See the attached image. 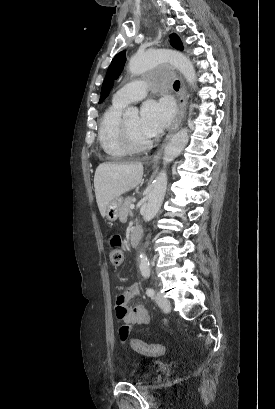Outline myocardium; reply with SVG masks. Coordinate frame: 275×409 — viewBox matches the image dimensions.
<instances>
[{
    "label": "myocardium",
    "instance_id": "obj_1",
    "mask_svg": "<svg viewBox=\"0 0 275 409\" xmlns=\"http://www.w3.org/2000/svg\"><path fill=\"white\" fill-rule=\"evenodd\" d=\"M121 133L124 146L131 153H145L153 146V140L145 144H138L132 137L126 121H122L121 123Z\"/></svg>",
    "mask_w": 275,
    "mask_h": 409
}]
</instances>
